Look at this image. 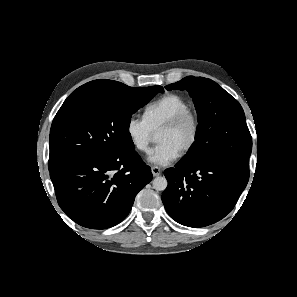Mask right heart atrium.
<instances>
[{
    "instance_id": "d8ad5b80",
    "label": "right heart atrium",
    "mask_w": 297,
    "mask_h": 297,
    "mask_svg": "<svg viewBox=\"0 0 297 297\" xmlns=\"http://www.w3.org/2000/svg\"><path fill=\"white\" fill-rule=\"evenodd\" d=\"M126 132L137 151L142 153L149 151L154 132L144 117L131 115L127 120Z\"/></svg>"
}]
</instances>
